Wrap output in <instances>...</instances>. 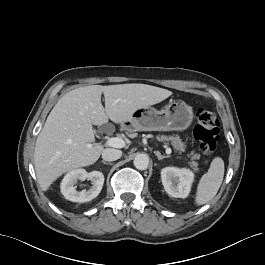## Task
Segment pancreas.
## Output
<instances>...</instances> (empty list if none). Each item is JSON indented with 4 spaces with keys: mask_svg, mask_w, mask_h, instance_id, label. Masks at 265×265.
<instances>
[{
    "mask_svg": "<svg viewBox=\"0 0 265 265\" xmlns=\"http://www.w3.org/2000/svg\"><path fill=\"white\" fill-rule=\"evenodd\" d=\"M158 141L167 143L170 142L171 145L173 146L174 150L178 151L179 153L184 152L186 145L182 142L179 136H165L161 135L157 137ZM188 157H190V162H188L189 166L193 169V171L198 172V162L195 160H198L200 158V154L195 153L192 151Z\"/></svg>",
    "mask_w": 265,
    "mask_h": 265,
    "instance_id": "1",
    "label": "pancreas"
}]
</instances>
